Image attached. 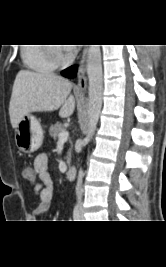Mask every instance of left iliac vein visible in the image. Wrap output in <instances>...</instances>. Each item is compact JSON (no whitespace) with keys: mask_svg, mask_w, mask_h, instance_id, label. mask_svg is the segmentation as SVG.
I'll use <instances>...</instances> for the list:
<instances>
[{"mask_svg":"<svg viewBox=\"0 0 166 267\" xmlns=\"http://www.w3.org/2000/svg\"><path fill=\"white\" fill-rule=\"evenodd\" d=\"M83 213H84L83 209L80 208V218H81L82 220L84 219Z\"/></svg>","mask_w":166,"mask_h":267,"instance_id":"obj_1","label":"left iliac vein"}]
</instances>
